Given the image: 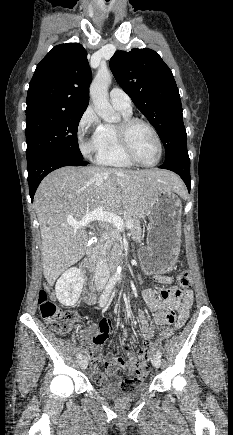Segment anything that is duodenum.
<instances>
[{
	"instance_id": "1",
	"label": "duodenum",
	"mask_w": 233,
	"mask_h": 435,
	"mask_svg": "<svg viewBox=\"0 0 233 435\" xmlns=\"http://www.w3.org/2000/svg\"><path fill=\"white\" fill-rule=\"evenodd\" d=\"M96 250H97V244H92L89 247L90 254L95 253ZM81 269L90 277H93L95 274V268L93 267L92 262L90 260H86L85 262H83L81 265ZM95 299H96V296L92 291V286L88 285L86 287V293L84 294V301L87 304H91L95 301Z\"/></svg>"
}]
</instances>
